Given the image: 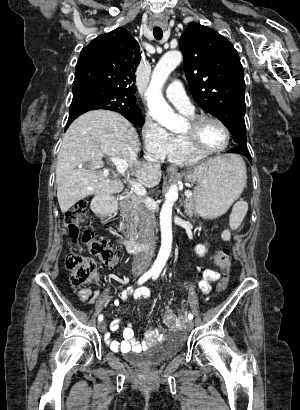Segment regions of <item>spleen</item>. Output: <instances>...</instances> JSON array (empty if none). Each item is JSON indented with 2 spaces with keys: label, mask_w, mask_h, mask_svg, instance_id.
Returning a JSON list of instances; mask_svg holds the SVG:
<instances>
[{
  "label": "spleen",
  "mask_w": 300,
  "mask_h": 410,
  "mask_svg": "<svg viewBox=\"0 0 300 410\" xmlns=\"http://www.w3.org/2000/svg\"><path fill=\"white\" fill-rule=\"evenodd\" d=\"M240 168L244 176V184H245L247 176H246V167H245L244 162L243 164L240 165ZM247 210H248V204L246 201L239 200L238 202L235 203L232 209V213L230 215V219H229L230 228L232 230H236L239 228V226L241 225L247 213Z\"/></svg>",
  "instance_id": "spleen-1"
}]
</instances>
